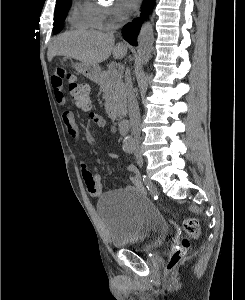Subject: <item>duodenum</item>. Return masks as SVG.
I'll list each match as a JSON object with an SVG mask.
<instances>
[{"label": "duodenum", "mask_w": 245, "mask_h": 300, "mask_svg": "<svg viewBox=\"0 0 245 300\" xmlns=\"http://www.w3.org/2000/svg\"><path fill=\"white\" fill-rule=\"evenodd\" d=\"M118 127H119V131L121 132V134H123V135L127 134L128 129H129L128 120L125 118H120L118 120Z\"/></svg>", "instance_id": "1"}]
</instances>
